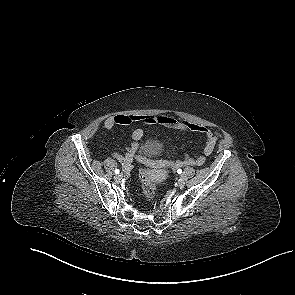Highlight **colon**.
<instances>
[{
	"label": "colon",
	"mask_w": 295,
	"mask_h": 295,
	"mask_svg": "<svg viewBox=\"0 0 295 295\" xmlns=\"http://www.w3.org/2000/svg\"><path fill=\"white\" fill-rule=\"evenodd\" d=\"M143 182V198L146 203H152L156 199V193L152 186L151 175L148 169L144 170L141 175Z\"/></svg>",
	"instance_id": "obj_1"
}]
</instances>
